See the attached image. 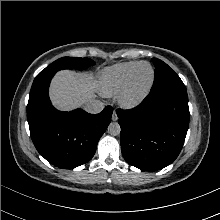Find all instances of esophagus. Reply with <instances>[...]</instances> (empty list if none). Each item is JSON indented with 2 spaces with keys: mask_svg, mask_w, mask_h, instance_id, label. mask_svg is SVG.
<instances>
[{
  "mask_svg": "<svg viewBox=\"0 0 220 220\" xmlns=\"http://www.w3.org/2000/svg\"><path fill=\"white\" fill-rule=\"evenodd\" d=\"M112 120L113 121H117L118 120V116L116 114V112L114 111L113 114H112Z\"/></svg>",
  "mask_w": 220,
  "mask_h": 220,
  "instance_id": "esophagus-1",
  "label": "esophagus"
}]
</instances>
